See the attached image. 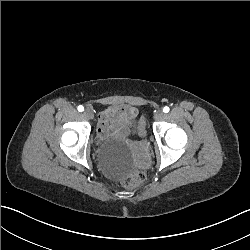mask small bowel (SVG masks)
<instances>
[{"mask_svg": "<svg viewBox=\"0 0 250 250\" xmlns=\"http://www.w3.org/2000/svg\"><path fill=\"white\" fill-rule=\"evenodd\" d=\"M136 109L131 106H116L110 108L106 113H104L100 118V123L98 127V133L103 134L107 131L120 132L123 135H128L130 120L134 117ZM109 115H115L117 119L113 123H109L107 118ZM127 116L125 119H120L122 116Z\"/></svg>", "mask_w": 250, "mask_h": 250, "instance_id": "1", "label": "small bowel"}]
</instances>
